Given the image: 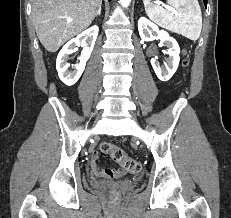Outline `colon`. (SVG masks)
Instances as JSON below:
<instances>
[{"instance_id": "obj_1", "label": "colon", "mask_w": 231, "mask_h": 218, "mask_svg": "<svg viewBox=\"0 0 231 218\" xmlns=\"http://www.w3.org/2000/svg\"><path fill=\"white\" fill-rule=\"evenodd\" d=\"M183 66L184 67L188 66L187 59H184ZM101 150L105 154H108L114 161L118 162L125 171L135 174L141 170V164L139 163V161L129 157L126 154V152L120 147H118L117 145L110 143V142H106L102 144ZM110 199L113 203L115 204L118 203L119 201L118 193L115 191H112L110 193Z\"/></svg>"}]
</instances>
